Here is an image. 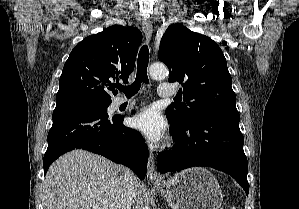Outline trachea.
I'll return each instance as SVG.
<instances>
[{
	"instance_id": "obj_1",
	"label": "trachea",
	"mask_w": 299,
	"mask_h": 209,
	"mask_svg": "<svg viewBox=\"0 0 299 209\" xmlns=\"http://www.w3.org/2000/svg\"><path fill=\"white\" fill-rule=\"evenodd\" d=\"M149 62V49L147 45H143L140 49L137 61V74L135 81L130 86H118L120 91H123L126 96L135 95L142 83L148 84L149 79L147 75V67Z\"/></svg>"
}]
</instances>
